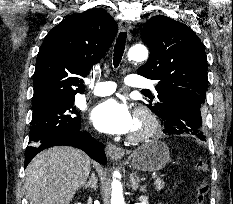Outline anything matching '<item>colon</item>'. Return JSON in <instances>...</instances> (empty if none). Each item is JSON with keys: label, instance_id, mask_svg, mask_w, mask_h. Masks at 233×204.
Returning a JSON list of instances; mask_svg holds the SVG:
<instances>
[{"label": "colon", "instance_id": "1", "mask_svg": "<svg viewBox=\"0 0 233 204\" xmlns=\"http://www.w3.org/2000/svg\"><path fill=\"white\" fill-rule=\"evenodd\" d=\"M194 169L198 174L203 176L196 189L195 204H204L210 190L209 182L205 178V175L209 171L207 160L203 158L198 159L195 163Z\"/></svg>", "mask_w": 233, "mask_h": 204}]
</instances>
